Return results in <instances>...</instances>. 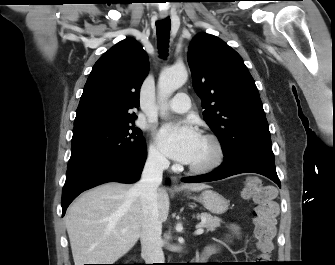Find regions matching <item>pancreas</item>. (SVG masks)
<instances>
[{"mask_svg": "<svg viewBox=\"0 0 335 265\" xmlns=\"http://www.w3.org/2000/svg\"><path fill=\"white\" fill-rule=\"evenodd\" d=\"M198 217L201 218V220H205L204 223H201L200 227H205L207 231H214L217 227L220 226V223L222 220L216 216H212L208 213H202L198 215Z\"/></svg>", "mask_w": 335, "mask_h": 265, "instance_id": "obj_1", "label": "pancreas"}]
</instances>
